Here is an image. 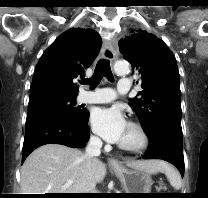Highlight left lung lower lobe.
<instances>
[{
    "mask_svg": "<svg viewBox=\"0 0 208 198\" xmlns=\"http://www.w3.org/2000/svg\"><path fill=\"white\" fill-rule=\"evenodd\" d=\"M150 145L143 159H162L175 165L184 174L182 135L170 129H162L149 137Z\"/></svg>",
    "mask_w": 208,
    "mask_h": 198,
    "instance_id": "left-lung-lower-lobe-1",
    "label": "left lung lower lobe"
}]
</instances>
